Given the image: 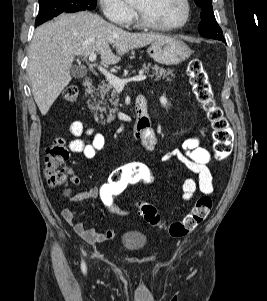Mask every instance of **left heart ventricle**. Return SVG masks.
Returning a JSON list of instances; mask_svg holds the SVG:
<instances>
[{
	"label": "left heart ventricle",
	"mask_w": 267,
	"mask_h": 301,
	"mask_svg": "<svg viewBox=\"0 0 267 301\" xmlns=\"http://www.w3.org/2000/svg\"><path fill=\"white\" fill-rule=\"evenodd\" d=\"M133 6L160 25L178 23L185 12L182 0H134Z\"/></svg>",
	"instance_id": "1"
}]
</instances>
